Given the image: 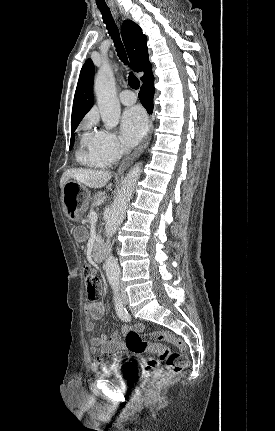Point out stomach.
I'll use <instances>...</instances> for the list:
<instances>
[{
    "instance_id": "0dacf381",
    "label": "stomach",
    "mask_w": 275,
    "mask_h": 431,
    "mask_svg": "<svg viewBox=\"0 0 275 431\" xmlns=\"http://www.w3.org/2000/svg\"><path fill=\"white\" fill-rule=\"evenodd\" d=\"M90 192L80 182L69 180L62 188V202L67 217L78 222L89 207Z\"/></svg>"
}]
</instances>
